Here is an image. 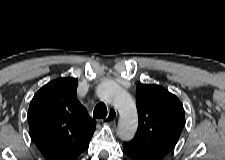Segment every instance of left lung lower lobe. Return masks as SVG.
I'll return each mask as SVG.
<instances>
[{
    "instance_id": "1",
    "label": "left lung lower lobe",
    "mask_w": 225,
    "mask_h": 160,
    "mask_svg": "<svg viewBox=\"0 0 225 160\" xmlns=\"http://www.w3.org/2000/svg\"><path fill=\"white\" fill-rule=\"evenodd\" d=\"M123 152L128 160H147L146 158L134 153L127 146L123 145Z\"/></svg>"
}]
</instances>
